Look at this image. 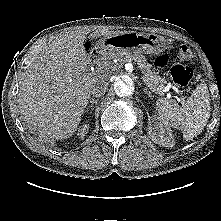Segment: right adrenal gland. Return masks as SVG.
<instances>
[{
    "label": "right adrenal gland",
    "instance_id": "obj_1",
    "mask_svg": "<svg viewBox=\"0 0 221 221\" xmlns=\"http://www.w3.org/2000/svg\"><path fill=\"white\" fill-rule=\"evenodd\" d=\"M89 103H90V104H89V106L87 107V111H88V108H89V107H93L94 104L96 105V104L98 103V99H93V98H92V99H90Z\"/></svg>",
    "mask_w": 221,
    "mask_h": 221
}]
</instances>
